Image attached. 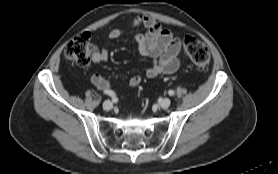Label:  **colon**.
<instances>
[{"mask_svg": "<svg viewBox=\"0 0 278 174\" xmlns=\"http://www.w3.org/2000/svg\"><path fill=\"white\" fill-rule=\"evenodd\" d=\"M183 47L190 60L197 69L204 70L210 63L208 48L198 39L186 36L183 39ZM95 51L90 35L82 33L75 36L66 46V57L80 67H87Z\"/></svg>", "mask_w": 278, "mask_h": 174, "instance_id": "obj_1", "label": "colon"}]
</instances>
